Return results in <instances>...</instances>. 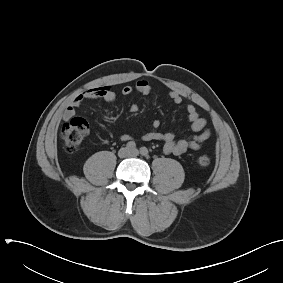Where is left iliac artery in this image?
Here are the masks:
<instances>
[{
	"label": "left iliac artery",
	"mask_w": 283,
	"mask_h": 283,
	"mask_svg": "<svg viewBox=\"0 0 283 283\" xmlns=\"http://www.w3.org/2000/svg\"><path fill=\"white\" fill-rule=\"evenodd\" d=\"M140 153L145 156V157H149V151L146 147H141L140 148Z\"/></svg>",
	"instance_id": "1"
}]
</instances>
